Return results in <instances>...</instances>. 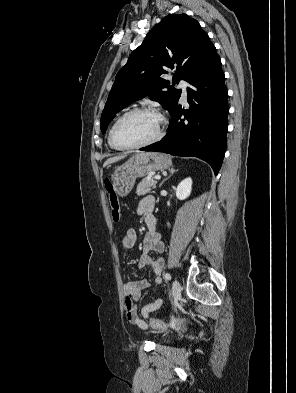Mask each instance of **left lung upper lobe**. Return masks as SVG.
Wrapping results in <instances>:
<instances>
[{
    "label": "left lung upper lobe",
    "mask_w": 296,
    "mask_h": 393,
    "mask_svg": "<svg viewBox=\"0 0 296 393\" xmlns=\"http://www.w3.org/2000/svg\"><path fill=\"white\" fill-rule=\"evenodd\" d=\"M213 50L209 36L195 19L186 14L164 17L117 73L101 115L102 133L116 113L145 96L162 104L171 115L181 90H173L161 76L176 66L173 84L188 81Z\"/></svg>",
    "instance_id": "1"
}]
</instances>
